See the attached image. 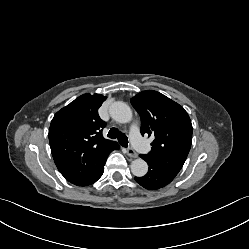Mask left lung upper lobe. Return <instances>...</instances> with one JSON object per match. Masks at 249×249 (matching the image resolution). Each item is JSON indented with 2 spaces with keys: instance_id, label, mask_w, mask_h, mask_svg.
Listing matches in <instances>:
<instances>
[{
  "instance_id": "left-lung-upper-lobe-1",
  "label": "left lung upper lobe",
  "mask_w": 249,
  "mask_h": 249,
  "mask_svg": "<svg viewBox=\"0 0 249 249\" xmlns=\"http://www.w3.org/2000/svg\"><path fill=\"white\" fill-rule=\"evenodd\" d=\"M131 104L141 117V134L155 137L150 153L143 156L159 168L178 174L192 143V124L187 112L153 90L137 94Z\"/></svg>"
}]
</instances>
